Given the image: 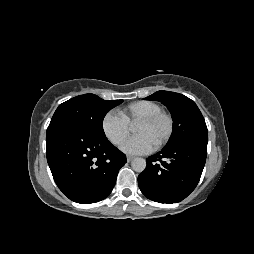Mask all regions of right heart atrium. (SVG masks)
<instances>
[{"instance_id":"d8ad5b80","label":"right heart atrium","mask_w":254,"mask_h":254,"mask_svg":"<svg viewBox=\"0 0 254 254\" xmlns=\"http://www.w3.org/2000/svg\"><path fill=\"white\" fill-rule=\"evenodd\" d=\"M106 139L114 146H120L129 134V124L114 110L107 112L101 121Z\"/></svg>"}]
</instances>
